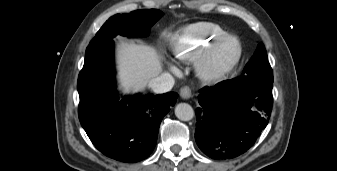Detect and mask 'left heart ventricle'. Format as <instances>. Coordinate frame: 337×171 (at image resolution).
Returning <instances> with one entry per match:
<instances>
[{
  "label": "left heart ventricle",
  "mask_w": 337,
  "mask_h": 171,
  "mask_svg": "<svg viewBox=\"0 0 337 171\" xmlns=\"http://www.w3.org/2000/svg\"><path fill=\"white\" fill-rule=\"evenodd\" d=\"M235 55V46L229 42L221 46L212 58V63L215 67L226 65Z\"/></svg>",
  "instance_id": "obj_1"
}]
</instances>
